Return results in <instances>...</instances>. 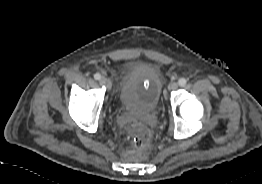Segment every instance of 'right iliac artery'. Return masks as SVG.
I'll return each mask as SVG.
<instances>
[{
	"label": "right iliac artery",
	"mask_w": 262,
	"mask_h": 184,
	"mask_svg": "<svg viewBox=\"0 0 262 184\" xmlns=\"http://www.w3.org/2000/svg\"><path fill=\"white\" fill-rule=\"evenodd\" d=\"M94 78H95L96 80H100V79H101V75H100L99 73H96V74L94 75Z\"/></svg>",
	"instance_id": "right-iliac-artery-1"
}]
</instances>
